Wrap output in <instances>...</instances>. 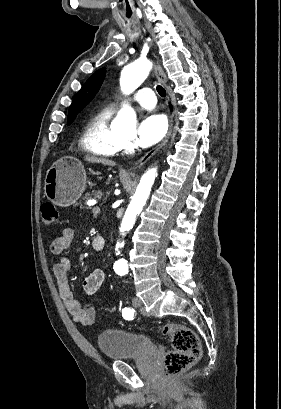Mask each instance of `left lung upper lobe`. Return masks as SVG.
<instances>
[{
  "mask_svg": "<svg viewBox=\"0 0 281 409\" xmlns=\"http://www.w3.org/2000/svg\"><path fill=\"white\" fill-rule=\"evenodd\" d=\"M105 73V68H101L96 71L76 94L69 108L67 120L68 125L74 121L77 114L93 99L95 94L98 92L104 80Z\"/></svg>",
  "mask_w": 281,
  "mask_h": 409,
  "instance_id": "1",
  "label": "left lung upper lobe"
}]
</instances>
